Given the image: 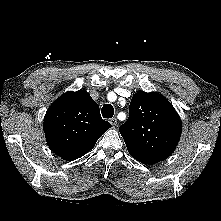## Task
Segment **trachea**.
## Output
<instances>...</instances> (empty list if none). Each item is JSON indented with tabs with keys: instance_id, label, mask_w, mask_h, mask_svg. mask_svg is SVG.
Instances as JSON below:
<instances>
[{
	"instance_id": "1",
	"label": "trachea",
	"mask_w": 221,
	"mask_h": 221,
	"mask_svg": "<svg viewBox=\"0 0 221 221\" xmlns=\"http://www.w3.org/2000/svg\"><path fill=\"white\" fill-rule=\"evenodd\" d=\"M114 115V108L111 104H105L103 107H102V116L103 118H112Z\"/></svg>"
}]
</instances>
